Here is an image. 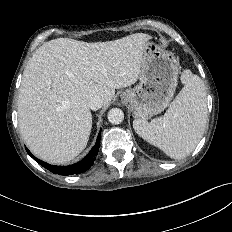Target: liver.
<instances>
[{"instance_id":"6515ba94","label":"liver","mask_w":232,"mask_h":232,"mask_svg":"<svg viewBox=\"0 0 232 232\" xmlns=\"http://www.w3.org/2000/svg\"><path fill=\"white\" fill-rule=\"evenodd\" d=\"M150 40L136 33L96 43L58 38L40 46L24 71L18 99L19 128L31 152L51 164L81 153L92 128L89 98L99 95L108 105L115 89L134 84Z\"/></svg>"}]
</instances>
